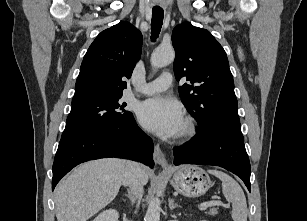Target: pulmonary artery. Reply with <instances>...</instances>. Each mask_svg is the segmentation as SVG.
<instances>
[{
    "mask_svg": "<svg viewBox=\"0 0 307 221\" xmlns=\"http://www.w3.org/2000/svg\"><path fill=\"white\" fill-rule=\"evenodd\" d=\"M172 84V75L170 73H163L159 78L152 82L144 84L139 93L143 95H151L157 92L167 90Z\"/></svg>",
    "mask_w": 307,
    "mask_h": 221,
    "instance_id": "e3ab8cb5",
    "label": "pulmonary artery"
}]
</instances>
